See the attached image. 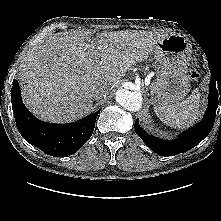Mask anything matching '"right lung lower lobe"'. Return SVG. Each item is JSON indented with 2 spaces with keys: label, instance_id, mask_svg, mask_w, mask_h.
<instances>
[{
  "label": "right lung lower lobe",
  "instance_id": "98d812e1",
  "mask_svg": "<svg viewBox=\"0 0 221 221\" xmlns=\"http://www.w3.org/2000/svg\"><path fill=\"white\" fill-rule=\"evenodd\" d=\"M11 101L16 126L22 137L44 153L54 157H65L77 152L91 137L96 118L100 112L68 124L43 122L34 117L21 99L16 80L11 88Z\"/></svg>",
  "mask_w": 221,
  "mask_h": 221
}]
</instances>
